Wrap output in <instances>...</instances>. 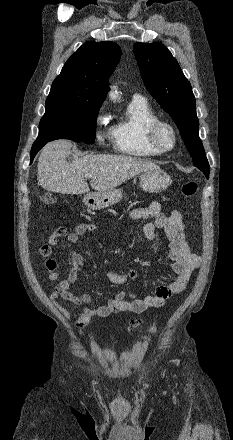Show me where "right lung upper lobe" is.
<instances>
[{"instance_id":"1","label":"right lung upper lobe","mask_w":233,"mask_h":440,"mask_svg":"<svg viewBox=\"0 0 233 440\" xmlns=\"http://www.w3.org/2000/svg\"><path fill=\"white\" fill-rule=\"evenodd\" d=\"M120 57L121 49L114 42H86L67 60L46 102L102 104L109 88L108 79Z\"/></svg>"}]
</instances>
